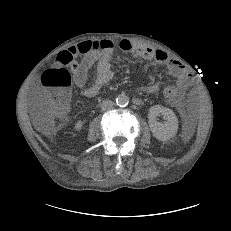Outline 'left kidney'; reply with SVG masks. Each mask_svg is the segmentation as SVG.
<instances>
[{
	"label": "left kidney",
	"instance_id": "5707ae66",
	"mask_svg": "<svg viewBox=\"0 0 231 231\" xmlns=\"http://www.w3.org/2000/svg\"><path fill=\"white\" fill-rule=\"evenodd\" d=\"M163 115L164 123L157 121L158 115ZM149 127L154 137L161 141H166L175 136L178 131V119L174 112L166 107L155 105L149 109Z\"/></svg>",
	"mask_w": 231,
	"mask_h": 231
}]
</instances>
